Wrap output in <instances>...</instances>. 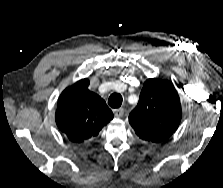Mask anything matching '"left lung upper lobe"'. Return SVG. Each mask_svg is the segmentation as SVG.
Here are the masks:
<instances>
[{
	"label": "left lung upper lobe",
	"mask_w": 223,
	"mask_h": 188,
	"mask_svg": "<svg viewBox=\"0 0 223 188\" xmlns=\"http://www.w3.org/2000/svg\"><path fill=\"white\" fill-rule=\"evenodd\" d=\"M182 116L179 95L171 82L148 79L143 85L137 107L129 122L145 141L159 143L178 128Z\"/></svg>",
	"instance_id": "obj_1"
}]
</instances>
